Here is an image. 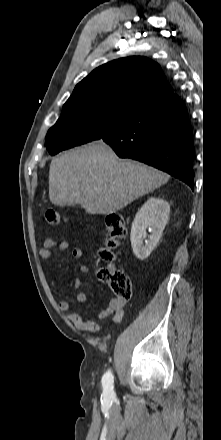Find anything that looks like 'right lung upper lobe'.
Wrapping results in <instances>:
<instances>
[{
    "mask_svg": "<svg viewBox=\"0 0 221 440\" xmlns=\"http://www.w3.org/2000/svg\"><path fill=\"white\" fill-rule=\"evenodd\" d=\"M173 93L160 66L145 57H126L108 62L79 82L64 104L76 101H108L138 108Z\"/></svg>",
    "mask_w": 221,
    "mask_h": 440,
    "instance_id": "1",
    "label": "right lung upper lobe"
}]
</instances>
